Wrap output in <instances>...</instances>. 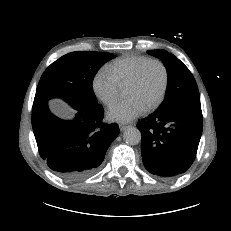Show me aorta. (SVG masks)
<instances>
[{
  "instance_id": "1",
  "label": "aorta",
  "mask_w": 231,
  "mask_h": 231,
  "mask_svg": "<svg viewBox=\"0 0 231 231\" xmlns=\"http://www.w3.org/2000/svg\"><path fill=\"white\" fill-rule=\"evenodd\" d=\"M141 137V132L136 127H128L123 133V139L128 145H137Z\"/></svg>"
}]
</instances>
